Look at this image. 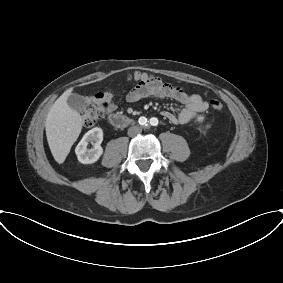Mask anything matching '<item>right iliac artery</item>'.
Returning a JSON list of instances; mask_svg holds the SVG:
<instances>
[{"label":"right iliac artery","mask_w":283,"mask_h":283,"mask_svg":"<svg viewBox=\"0 0 283 283\" xmlns=\"http://www.w3.org/2000/svg\"><path fill=\"white\" fill-rule=\"evenodd\" d=\"M146 122H147V119L145 117H141L140 118V123L141 124H146Z\"/></svg>","instance_id":"obj_1"}]
</instances>
